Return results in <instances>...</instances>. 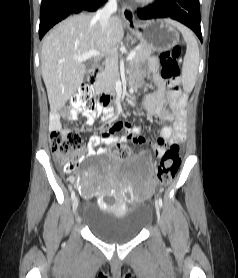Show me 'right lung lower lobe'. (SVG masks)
Instances as JSON below:
<instances>
[{"mask_svg": "<svg viewBox=\"0 0 238 278\" xmlns=\"http://www.w3.org/2000/svg\"><path fill=\"white\" fill-rule=\"evenodd\" d=\"M107 0H42L40 10L39 37L56 23L69 15L81 11H95Z\"/></svg>", "mask_w": 238, "mask_h": 278, "instance_id": "obj_1", "label": "right lung lower lobe"}]
</instances>
